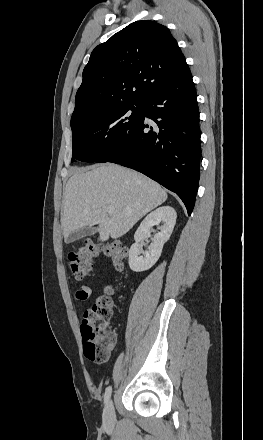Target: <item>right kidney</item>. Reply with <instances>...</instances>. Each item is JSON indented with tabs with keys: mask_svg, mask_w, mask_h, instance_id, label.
Listing matches in <instances>:
<instances>
[{
	"mask_svg": "<svg viewBox=\"0 0 263 440\" xmlns=\"http://www.w3.org/2000/svg\"><path fill=\"white\" fill-rule=\"evenodd\" d=\"M176 211L170 206H162L149 213L135 232V243L129 251V266L134 272L150 269L159 259L164 244L169 240L176 223ZM162 223L160 232L154 236L153 242L145 252L140 244L149 237L150 229ZM144 253V256H140Z\"/></svg>",
	"mask_w": 263,
	"mask_h": 440,
	"instance_id": "right-kidney-1",
	"label": "right kidney"
}]
</instances>
